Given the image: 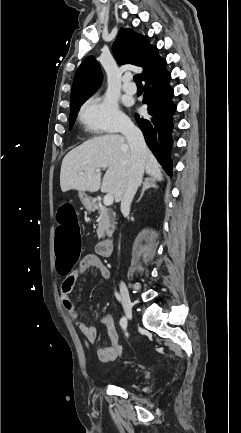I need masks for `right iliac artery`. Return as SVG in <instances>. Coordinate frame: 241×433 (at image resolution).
Segmentation results:
<instances>
[{"label":"right iliac artery","instance_id":"obj_1","mask_svg":"<svg viewBox=\"0 0 241 433\" xmlns=\"http://www.w3.org/2000/svg\"><path fill=\"white\" fill-rule=\"evenodd\" d=\"M115 296H116L117 300L120 301V296H119V294H118L117 292H115ZM126 324H127V319H126V317H122V318L120 319V325H121L122 327H124Z\"/></svg>","mask_w":241,"mask_h":433}]
</instances>
